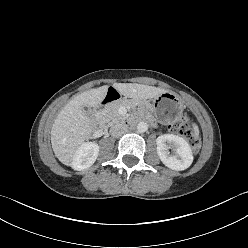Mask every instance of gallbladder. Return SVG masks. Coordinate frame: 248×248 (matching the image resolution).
Here are the masks:
<instances>
[{"mask_svg": "<svg viewBox=\"0 0 248 248\" xmlns=\"http://www.w3.org/2000/svg\"><path fill=\"white\" fill-rule=\"evenodd\" d=\"M86 112L90 115L91 114V111L88 109V110H86Z\"/></svg>", "mask_w": 248, "mask_h": 248, "instance_id": "gallbladder-1", "label": "gallbladder"}]
</instances>
